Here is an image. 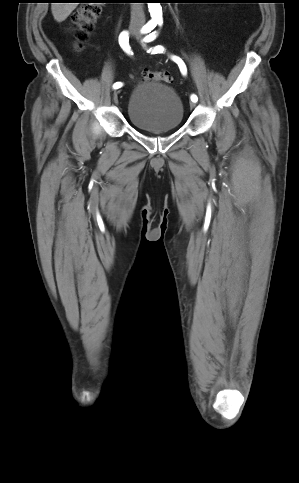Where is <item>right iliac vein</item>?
Returning a JSON list of instances; mask_svg holds the SVG:
<instances>
[{"label": "right iliac vein", "mask_w": 299, "mask_h": 483, "mask_svg": "<svg viewBox=\"0 0 299 483\" xmlns=\"http://www.w3.org/2000/svg\"><path fill=\"white\" fill-rule=\"evenodd\" d=\"M131 33L133 35H137V31L136 30H131ZM118 94H119V91H115L114 94H113V99H114V102L115 103H118Z\"/></svg>", "instance_id": "63e3f726"}]
</instances>
